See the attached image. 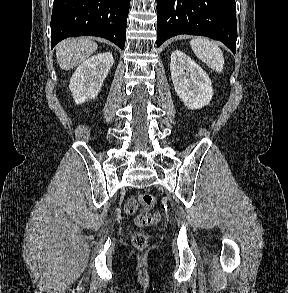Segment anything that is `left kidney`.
Returning <instances> with one entry per match:
<instances>
[{
	"mask_svg": "<svg viewBox=\"0 0 288 293\" xmlns=\"http://www.w3.org/2000/svg\"><path fill=\"white\" fill-rule=\"evenodd\" d=\"M170 70L174 89L185 106L200 109L210 103L213 96L211 80L185 53L172 52Z\"/></svg>",
	"mask_w": 288,
	"mask_h": 293,
	"instance_id": "obj_1",
	"label": "left kidney"
}]
</instances>
